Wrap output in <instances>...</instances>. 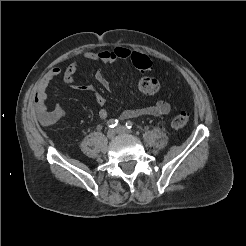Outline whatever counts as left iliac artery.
<instances>
[{"mask_svg":"<svg viewBox=\"0 0 246 246\" xmlns=\"http://www.w3.org/2000/svg\"><path fill=\"white\" fill-rule=\"evenodd\" d=\"M126 127H127L128 129H131V128L133 127V122L127 121V122H126Z\"/></svg>","mask_w":246,"mask_h":246,"instance_id":"1","label":"left iliac artery"}]
</instances>
